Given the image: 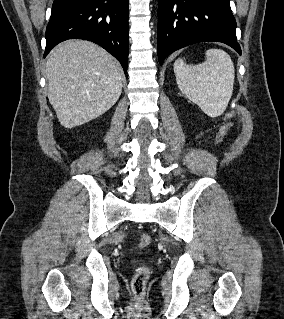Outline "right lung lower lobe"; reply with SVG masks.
Here are the masks:
<instances>
[{"label":"right lung lower lobe","instance_id":"obj_1","mask_svg":"<svg viewBox=\"0 0 284 319\" xmlns=\"http://www.w3.org/2000/svg\"><path fill=\"white\" fill-rule=\"evenodd\" d=\"M45 37L44 57L64 40L85 39L106 49L126 73L128 0H54Z\"/></svg>","mask_w":284,"mask_h":319}]
</instances>
